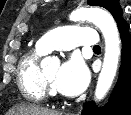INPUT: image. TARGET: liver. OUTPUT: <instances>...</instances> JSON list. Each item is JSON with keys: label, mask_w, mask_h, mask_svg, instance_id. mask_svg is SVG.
<instances>
[{"label": "liver", "mask_w": 131, "mask_h": 115, "mask_svg": "<svg viewBox=\"0 0 131 115\" xmlns=\"http://www.w3.org/2000/svg\"><path fill=\"white\" fill-rule=\"evenodd\" d=\"M12 115H60L58 112L32 105H19L10 111Z\"/></svg>", "instance_id": "obj_1"}]
</instances>
